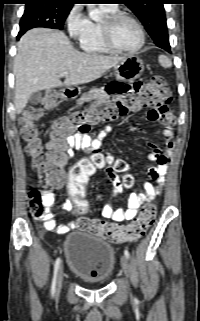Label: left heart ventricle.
Here are the masks:
<instances>
[{
  "instance_id": "b2bd125f",
  "label": "left heart ventricle",
  "mask_w": 200,
  "mask_h": 321,
  "mask_svg": "<svg viewBox=\"0 0 200 321\" xmlns=\"http://www.w3.org/2000/svg\"><path fill=\"white\" fill-rule=\"evenodd\" d=\"M115 44L123 50H132L140 42V34L136 25L129 19L119 20L113 30Z\"/></svg>"
}]
</instances>
